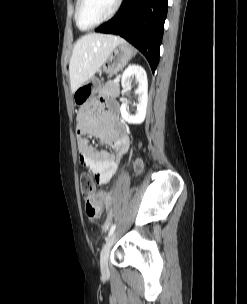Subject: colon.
I'll use <instances>...</instances> for the list:
<instances>
[{
  "mask_svg": "<svg viewBox=\"0 0 247 304\" xmlns=\"http://www.w3.org/2000/svg\"><path fill=\"white\" fill-rule=\"evenodd\" d=\"M141 161L137 160L135 162V170L140 171ZM80 191L84 198L87 199L86 213L90 220H96L102 210V206L109 199V194L107 192H97L95 193V180L89 173H83L79 179Z\"/></svg>",
  "mask_w": 247,
  "mask_h": 304,
  "instance_id": "colon-1",
  "label": "colon"
}]
</instances>
